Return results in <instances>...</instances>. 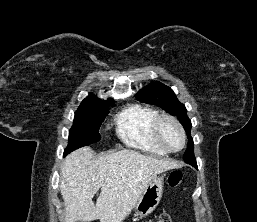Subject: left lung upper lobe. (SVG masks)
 Segmentation results:
<instances>
[{
	"mask_svg": "<svg viewBox=\"0 0 257 222\" xmlns=\"http://www.w3.org/2000/svg\"><path fill=\"white\" fill-rule=\"evenodd\" d=\"M135 97L141 102L157 105L171 115L178 117L189 139L183 159L186 163L191 164L192 166L197 165L194 156V143L190 135L192 127L191 121L186 114L187 110L185 106L178 101L173 90L160 82H154L140 90Z\"/></svg>",
	"mask_w": 257,
	"mask_h": 222,
	"instance_id": "obj_1",
	"label": "left lung upper lobe"
}]
</instances>
